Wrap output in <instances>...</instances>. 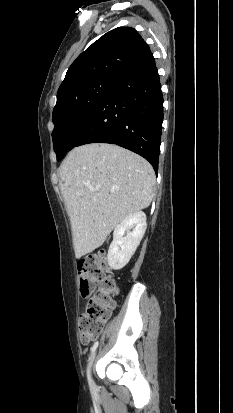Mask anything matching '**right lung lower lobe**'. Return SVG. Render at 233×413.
I'll list each match as a JSON object with an SVG mask.
<instances>
[{
    "mask_svg": "<svg viewBox=\"0 0 233 413\" xmlns=\"http://www.w3.org/2000/svg\"><path fill=\"white\" fill-rule=\"evenodd\" d=\"M163 95L151 51L116 77L72 146L117 144L148 160L158 171Z\"/></svg>",
    "mask_w": 233,
    "mask_h": 413,
    "instance_id": "obj_1",
    "label": "right lung lower lobe"
}]
</instances>
